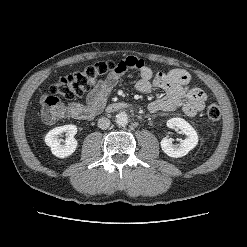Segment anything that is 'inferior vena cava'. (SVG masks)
<instances>
[{
  "instance_id": "602c4592",
  "label": "inferior vena cava",
  "mask_w": 247,
  "mask_h": 247,
  "mask_svg": "<svg viewBox=\"0 0 247 247\" xmlns=\"http://www.w3.org/2000/svg\"><path fill=\"white\" fill-rule=\"evenodd\" d=\"M110 126V120L106 117H101L98 120V127L102 130L107 129Z\"/></svg>"
}]
</instances>
